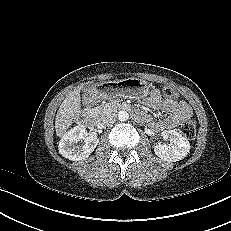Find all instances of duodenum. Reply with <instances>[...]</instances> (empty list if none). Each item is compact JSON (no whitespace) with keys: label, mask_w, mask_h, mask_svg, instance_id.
I'll use <instances>...</instances> for the list:
<instances>
[{"label":"duodenum","mask_w":231,"mask_h":231,"mask_svg":"<svg viewBox=\"0 0 231 231\" xmlns=\"http://www.w3.org/2000/svg\"><path fill=\"white\" fill-rule=\"evenodd\" d=\"M106 90H107V88H102V91H106ZM118 107L121 110H126V111L131 110V106L129 104H121ZM133 116L135 118L139 119L140 118V112L133 111ZM95 117H96V115H95V113L93 111V107L91 105L87 106V108H86V110L84 112V120L91 122V121H93L95 119Z\"/></svg>","instance_id":"410a0bca"}]
</instances>
